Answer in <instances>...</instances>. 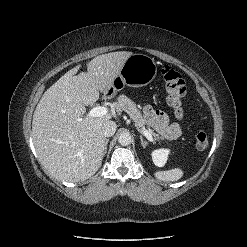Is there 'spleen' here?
Segmentation results:
<instances>
[{
    "mask_svg": "<svg viewBox=\"0 0 247 247\" xmlns=\"http://www.w3.org/2000/svg\"><path fill=\"white\" fill-rule=\"evenodd\" d=\"M183 171L180 168H174L166 171H157L155 177L161 181L173 182L183 177Z\"/></svg>",
    "mask_w": 247,
    "mask_h": 247,
    "instance_id": "1",
    "label": "spleen"
}]
</instances>
